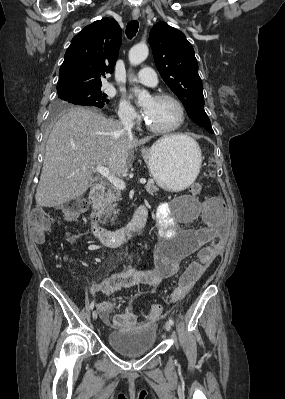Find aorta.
Segmentation results:
<instances>
[{
  "label": "aorta",
  "instance_id": "762f6f07",
  "mask_svg": "<svg viewBox=\"0 0 285 399\" xmlns=\"http://www.w3.org/2000/svg\"><path fill=\"white\" fill-rule=\"evenodd\" d=\"M149 50L146 44L140 43L133 46L129 51V62L131 65L136 66L142 63L148 56ZM138 98V104L142 105L150 99V94L145 90L138 88L134 89Z\"/></svg>",
  "mask_w": 285,
  "mask_h": 399
}]
</instances>
